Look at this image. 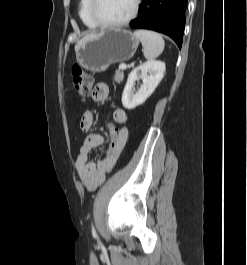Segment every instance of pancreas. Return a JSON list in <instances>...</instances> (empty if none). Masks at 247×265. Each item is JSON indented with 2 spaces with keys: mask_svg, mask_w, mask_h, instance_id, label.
I'll return each mask as SVG.
<instances>
[{
  "mask_svg": "<svg viewBox=\"0 0 247 265\" xmlns=\"http://www.w3.org/2000/svg\"><path fill=\"white\" fill-rule=\"evenodd\" d=\"M123 77H124L123 71L117 70L114 76V81L120 84L123 81Z\"/></svg>",
  "mask_w": 247,
  "mask_h": 265,
  "instance_id": "pancreas-1",
  "label": "pancreas"
}]
</instances>
